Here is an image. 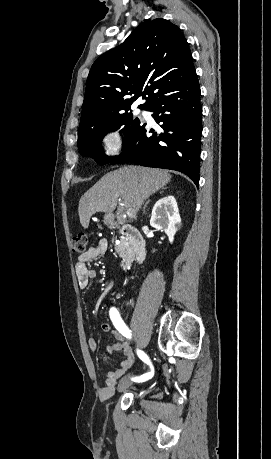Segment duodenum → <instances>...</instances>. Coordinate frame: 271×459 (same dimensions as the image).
Listing matches in <instances>:
<instances>
[{
  "label": "duodenum",
  "instance_id": "duodenum-1",
  "mask_svg": "<svg viewBox=\"0 0 271 459\" xmlns=\"http://www.w3.org/2000/svg\"><path fill=\"white\" fill-rule=\"evenodd\" d=\"M115 226L132 243L136 261L138 263L143 262L146 257V243L141 232L136 227L126 224L121 220H116Z\"/></svg>",
  "mask_w": 271,
  "mask_h": 459
}]
</instances>
